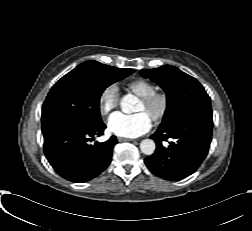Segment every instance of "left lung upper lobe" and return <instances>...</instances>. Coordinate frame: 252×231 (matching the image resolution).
Returning a JSON list of instances; mask_svg holds the SVG:
<instances>
[{
  "mask_svg": "<svg viewBox=\"0 0 252 231\" xmlns=\"http://www.w3.org/2000/svg\"><path fill=\"white\" fill-rule=\"evenodd\" d=\"M166 92L167 109L159 128H164L178 117L196 111L212 112L210 97L202 85L190 75L171 65L141 70Z\"/></svg>",
  "mask_w": 252,
  "mask_h": 231,
  "instance_id": "left-lung-upper-lobe-1",
  "label": "left lung upper lobe"
}]
</instances>
